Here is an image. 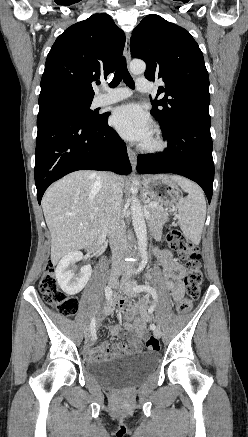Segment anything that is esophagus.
Returning <instances> with one entry per match:
<instances>
[{
    "label": "esophagus",
    "mask_w": 248,
    "mask_h": 437,
    "mask_svg": "<svg viewBox=\"0 0 248 437\" xmlns=\"http://www.w3.org/2000/svg\"><path fill=\"white\" fill-rule=\"evenodd\" d=\"M124 54H125L127 62H129L130 61V35L129 34H127V36H126ZM127 153H128V157H129L130 163H131L133 169H135L136 163H137V155H136L135 151L132 150L128 146L127 147Z\"/></svg>",
    "instance_id": "34e87169"
}]
</instances>
